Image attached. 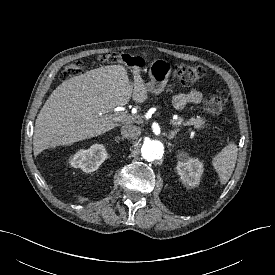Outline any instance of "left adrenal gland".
I'll return each mask as SVG.
<instances>
[{
    "instance_id": "1",
    "label": "left adrenal gland",
    "mask_w": 275,
    "mask_h": 275,
    "mask_svg": "<svg viewBox=\"0 0 275 275\" xmlns=\"http://www.w3.org/2000/svg\"><path fill=\"white\" fill-rule=\"evenodd\" d=\"M178 132H179V129H176V130H174V131L169 132L167 138H168V139H173V138L176 136V134H177Z\"/></svg>"
}]
</instances>
